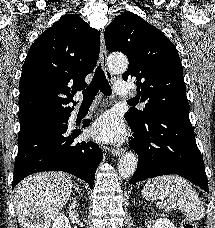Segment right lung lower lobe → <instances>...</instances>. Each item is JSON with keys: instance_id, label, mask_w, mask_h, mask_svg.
Listing matches in <instances>:
<instances>
[{"instance_id": "obj_1", "label": "right lung lower lobe", "mask_w": 215, "mask_h": 228, "mask_svg": "<svg viewBox=\"0 0 215 228\" xmlns=\"http://www.w3.org/2000/svg\"><path fill=\"white\" fill-rule=\"evenodd\" d=\"M70 112L64 124L42 128L18 139V154L14 164L12 188L25 177L40 171H64L94 185L95 172L102 160V152L94 142L74 139L80 130L68 126ZM90 121H84V127Z\"/></svg>"}]
</instances>
